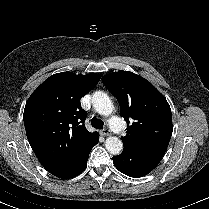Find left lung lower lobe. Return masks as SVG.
I'll use <instances>...</instances> for the list:
<instances>
[{"instance_id":"0a47b994","label":"left lung lower lobe","mask_w":209,"mask_h":209,"mask_svg":"<svg viewBox=\"0 0 209 209\" xmlns=\"http://www.w3.org/2000/svg\"><path fill=\"white\" fill-rule=\"evenodd\" d=\"M115 167L123 174L138 178L147 175L161 161L162 157L123 149L121 155L113 157Z\"/></svg>"}]
</instances>
